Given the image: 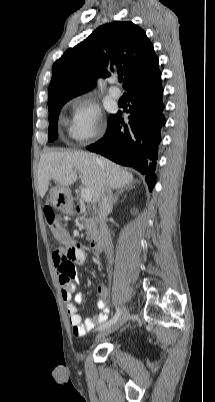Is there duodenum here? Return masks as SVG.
I'll list each match as a JSON object with an SVG mask.
<instances>
[{
  "label": "duodenum",
  "instance_id": "obj_1",
  "mask_svg": "<svg viewBox=\"0 0 215 402\" xmlns=\"http://www.w3.org/2000/svg\"><path fill=\"white\" fill-rule=\"evenodd\" d=\"M91 247L95 252H101L105 248V240L101 236H97L93 239Z\"/></svg>",
  "mask_w": 215,
  "mask_h": 402
}]
</instances>
